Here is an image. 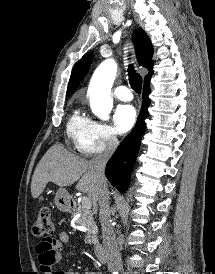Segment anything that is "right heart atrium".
<instances>
[{
    "mask_svg": "<svg viewBox=\"0 0 215 274\" xmlns=\"http://www.w3.org/2000/svg\"><path fill=\"white\" fill-rule=\"evenodd\" d=\"M119 144L115 129L107 123L91 120V126L77 149L84 155L92 156L111 152Z\"/></svg>",
    "mask_w": 215,
    "mask_h": 274,
    "instance_id": "1",
    "label": "right heart atrium"
}]
</instances>
